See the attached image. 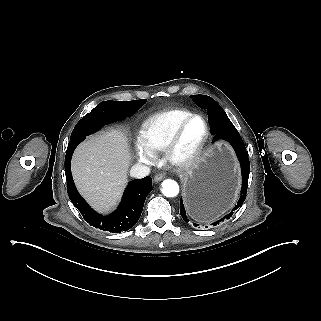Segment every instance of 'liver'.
<instances>
[{"mask_svg":"<svg viewBox=\"0 0 321 321\" xmlns=\"http://www.w3.org/2000/svg\"><path fill=\"white\" fill-rule=\"evenodd\" d=\"M123 131H111L81 144L72 171L81 193L99 209H107L119 197L126 182L128 158Z\"/></svg>","mask_w":321,"mask_h":321,"instance_id":"liver-1","label":"liver"}]
</instances>
